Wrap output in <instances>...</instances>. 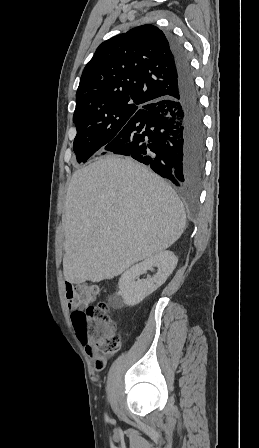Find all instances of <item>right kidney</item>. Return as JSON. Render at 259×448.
<instances>
[{
    "mask_svg": "<svg viewBox=\"0 0 259 448\" xmlns=\"http://www.w3.org/2000/svg\"><path fill=\"white\" fill-rule=\"evenodd\" d=\"M178 262L177 256L173 252H159L156 256H151L145 262L136 264L122 274L119 280V292L109 298L112 308H123V306H136L140 304L146 296L155 292L166 282L168 276L175 270ZM158 268L157 274L147 280H138V276L146 274L147 270ZM137 280V282H135Z\"/></svg>",
    "mask_w": 259,
    "mask_h": 448,
    "instance_id": "right-kidney-1",
    "label": "right kidney"
}]
</instances>
